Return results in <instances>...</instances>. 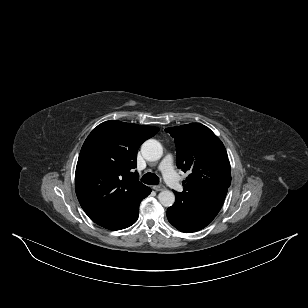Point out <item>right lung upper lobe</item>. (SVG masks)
Returning a JSON list of instances; mask_svg holds the SVG:
<instances>
[{"mask_svg": "<svg viewBox=\"0 0 308 308\" xmlns=\"http://www.w3.org/2000/svg\"><path fill=\"white\" fill-rule=\"evenodd\" d=\"M158 131L110 120L89 134L78 158L75 185L80 205L92 221L115 230L132 216L149 188L133 173L137 151Z\"/></svg>", "mask_w": 308, "mask_h": 308, "instance_id": "cb5924a9", "label": "right lung upper lobe"}]
</instances>
